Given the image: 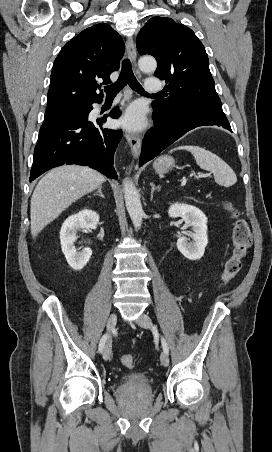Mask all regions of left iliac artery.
<instances>
[{
    "mask_svg": "<svg viewBox=\"0 0 272 452\" xmlns=\"http://www.w3.org/2000/svg\"><path fill=\"white\" fill-rule=\"evenodd\" d=\"M155 328L156 327H153V329H155ZM161 342H162V346H163L164 351L168 354L169 353V348H168L166 340L163 337L161 339Z\"/></svg>",
    "mask_w": 272,
    "mask_h": 452,
    "instance_id": "44dca946",
    "label": "left iliac artery"
}]
</instances>
